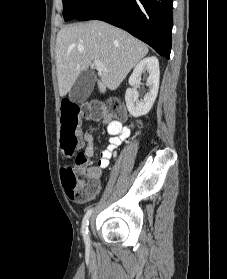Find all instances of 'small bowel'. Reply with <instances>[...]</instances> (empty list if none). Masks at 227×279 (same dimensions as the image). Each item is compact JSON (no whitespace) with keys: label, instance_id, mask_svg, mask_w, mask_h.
Returning a JSON list of instances; mask_svg holds the SVG:
<instances>
[{"label":"small bowel","instance_id":"1","mask_svg":"<svg viewBox=\"0 0 227 279\" xmlns=\"http://www.w3.org/2000/svg\"><path fill=\"white\" fill-rule=\"evenodd\" d=\"M102 122L106 125L107 133L109 135V142L99 156V159L96 164L91 165L87 170V176L94 180L97 185V191L95 194L98 193L99 187V178L101 176L102 170L106 169L109 164L110 160L113 156V153L117 150V148L121 145V143L128 138L130 134V130L127 126L123 125L122 123H117L114 121L110 114H105L103 117ZM117 125V129H115L114 125ZM84 142L86 143L85 154L88 158L93 157L94 155V136L92 133H86L84 135ZM67 168H64L66 170ZM94 194V195H95ZM93 195V196H94Z\"/></svg>","mask_w":227,"mask_h":279}]
</instances>
